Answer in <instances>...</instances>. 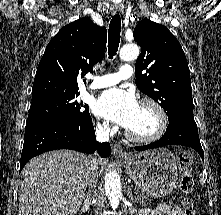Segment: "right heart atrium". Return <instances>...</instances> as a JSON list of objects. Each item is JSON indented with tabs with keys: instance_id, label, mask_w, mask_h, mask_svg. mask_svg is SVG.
I'll use <instances>...</instances> for the list:
<instances>
[{
	"instance_id": "right-heart-atrium-1",
	"label": "right heart atrium",
	"mask_w": 221,
	"mask_h": 215,
	"mask_svg": "<svg viewBox=\"0 0 221 215\" xmlns=\"http://www.w3.org/2000/svg\"><path fill=\"white\" fill-rule=\"evenodd\" d=\"M96 130L101 135H109L113 132V128L107 121H98L96 123Z\"/></svg>"
}]
</instances>
